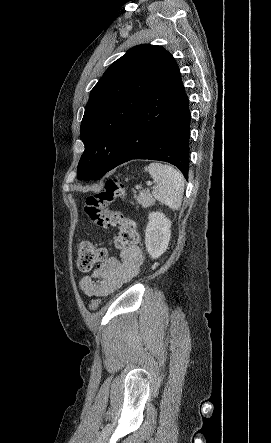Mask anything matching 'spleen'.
Segmentation results:
<instances>
[{"label": "spleen", "mask_w": 271, "mask_h": 443, "mask_svg": "<svg viewBox=\"0 0 271 443\" xmlns=\"http://www.w3.org/2000/svg\"><path fill=\"white\" fill-rule=\"evenodd\" d=\"M145 172H149L151 178L156 182L153 190V196L165 204L171 210H179L182 206V198L184 194V178L178 170H174L172 166L167 164H149L146 166Z\"/></svg>", "instance_id": "spleen-1"}]
</instances>
